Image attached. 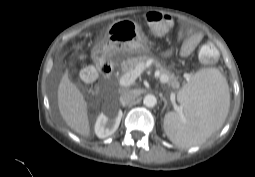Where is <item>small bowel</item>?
Returning a JSON list of instances; mask_svg holds the SVG:
<instances>
[{
  "instance_id": "c3829d8e",
  "label": "small bowel",
  "mask_w": 255,
  "mask_h": 177,
  "mask_svg": "<svg viewBox=\"0 0 255 177\" xmlns=\"http://www.w3.org/2000/svg\"><path fill=\"white\" fill-rule=\"evenodd\" d=\"M203 33L199 31H183L180 29L177 33L176 45L179 54L183 57L189 56L199 43L203 40ZM173 50L166 52V55L172 54Z\"/></svg>"
}]
</instances>
